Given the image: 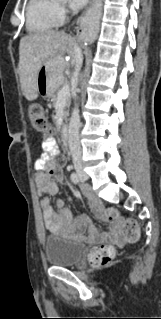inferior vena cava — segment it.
<instances>
[{
  "instance_id": "602c4592",
  "label": "inferior vena cava",
  "mask_w": 161,
  "mask_h": 319,
  "mask_svg": "<svg viewBox=\"0 0 161 319\" xmlns=\"http://www.w3.org/2000/svg\"><path fill=\"white\" fill-rule=\"evenodd\" d=\"M75 71L73 74V79L77 83L79 71L82 67L83 63V55L81 49L75 45ZM79 128H80V116L79 110L74 109L70 123H69V131H68V144L73 157L74 168L76 170H82V152L79 141Z\"/></svg>"
}]
</instances>
